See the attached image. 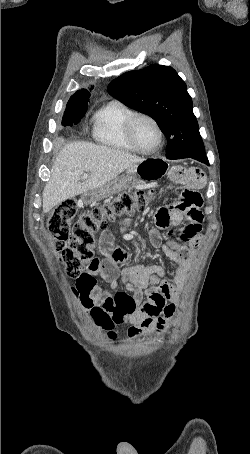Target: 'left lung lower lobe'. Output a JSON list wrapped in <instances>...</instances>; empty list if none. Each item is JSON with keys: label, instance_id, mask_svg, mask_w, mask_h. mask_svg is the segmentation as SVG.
<instances>
[{"label": "left lung lower lobe", "instance_id": "1", "mask_svg": "<svg viewBox=\"0 0 250 454\" xmlns=\"http://www.w3.org/2000/svg\"><path fill=\"white\" fill-rule=\"evenodd\" d=\"M180 158H193L195 160H198L202 163H205L209 165V161L205 155V152L203 153H195V154H188V155H179V156H173L168 159H180Z\"/></svg>", "mask_w": 250, "mask_h": 454}]
</instances>
